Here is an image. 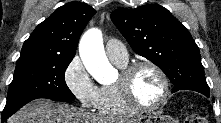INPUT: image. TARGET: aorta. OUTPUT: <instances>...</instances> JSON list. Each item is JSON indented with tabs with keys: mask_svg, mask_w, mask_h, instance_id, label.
<instances>
[{
	"mask_svg": "<svg viewBox=\"0 0 221 123\" xmlns=\"http://www.w3.org/2000/svg\"><path fill=\"white\" fill-rule=\"evenodd\" d=\"M79 53L85 68L98 82L110 81L114 69L106 57L101 30L91 28L83 34Z\"/></svg>",
	"mask_w": 221,
	"mask_h": 123,
	"instance_id": "obj_1",
	"label": "aorta"
}]
</instances>
